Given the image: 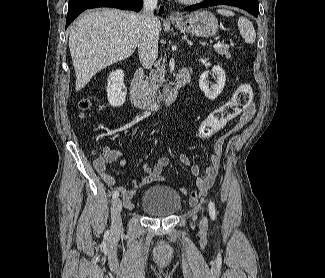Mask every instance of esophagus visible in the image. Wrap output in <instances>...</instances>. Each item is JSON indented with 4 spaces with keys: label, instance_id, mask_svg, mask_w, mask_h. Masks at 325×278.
I'll return each instance as SVG.
<instances>
[{
    "label": "esophagus",
    "instance_id": "34e87169",
    "mask_svg": "<svg viewBox=\"0 0 325 278\" xmlns=\"http://www.w3.org/2000/svg\"><path fill=\"white\" fill-rule=\"evenodd\" d=\"M169 19H170L171 21H177V20L180 19V15H179L177 12L172 11V12H170V14H169Z\"/></svg>",
    "mask_w": 325,
    "mask_h": 278
}]
</instances>
